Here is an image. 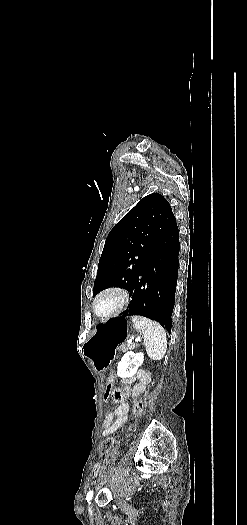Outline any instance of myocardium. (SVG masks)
Masks as SVG:
<instances>
[{
    "instance_id": "f54148a6",
    "label": "myocardium",
    "mask_w": 247,
    "mask_h": 525,
    "mask_svg": "<svg viewBox=\"0 0 247 525\" xmlns=\"http://www.w3.org/2000/svg\"><path fill=\"white\" fill-rule=\"evenodd\" d=\"M109 293L116 294L118 296L117 303L111 308H108L104 311H99L97 309V302L99 298ZM128 299H129V292L125 287L121 285H115V284L104 286L95 294L93 298V301H92L93 313L96 317H99V318L110 317L116 313H119L124 308V306L127 304Z\"/></svg>"
}]
</instances>
